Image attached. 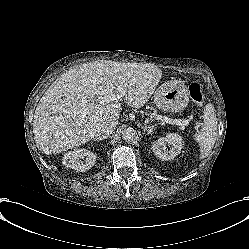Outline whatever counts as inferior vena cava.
Listing matches in <instances>:
<instances>
[{
  "label": "inferior vena cava",
  "mask_w": 249,
  "mask_h": 249,
  "mask_svg": "<svg viewBox=\"0 0 249 249\" xmlns=\"http://www.w3.org/2000/svg\"><path fill=\"white\" fill-rule=\"evenodd\" d=\"M117 123L118 122L112 121L101 124L99 127V133H101L103 136L111 134L114 131Z\"/></svg>",
  "instance_id": "obj_1"
}]
</instances>
